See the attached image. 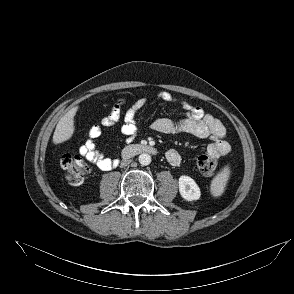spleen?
I'll list each match as a JSON object with an SVG mask.
<instances>
[{
	"label": "spleen",
	"instance_id": "1",
	"mask_svg": "<svg viewBox=\"0 0 294 294\" xmlns=\"http://www.w3.org/2000/svg\"><path fill=\"white\" fill-rule=\"evenodd\" d=\"M229 174V168L226 167L213 179L211 183V193L213 196L218 197L224 192Z\"/></svg>",
	"mask_w": 294,
	"mask_h": 294
}]
</instances>
